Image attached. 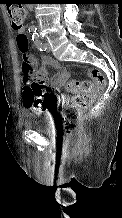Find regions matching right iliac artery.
<instances>
[{"instance_id": "obj_1", "label": "right iliac artery", "mask_w": 122, "mask_h": 218, "mask_svg": "<svg viewBox=\"0 0 122 218\" xmlns=\"http://www.w3.org/2000/svg\"><path fill=\"white\" fill-rule=\"evenodd\" d=\"M29 32L34 34V33H36V29H30Z\"/></svg>"}]
</instances>
